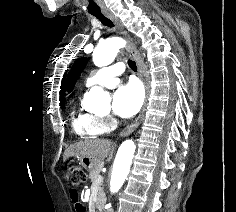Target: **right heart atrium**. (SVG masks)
Returning a JSON list of instances; mask_svg holds the SVG:
<instances>
[{
  "mask_svg": "<svg viewBox=\"0 0 236 212\" xmlns=\"http://www.w3.org/2000/svg\"><path fill=\"white\" fill-rule=\"evenodd\" d=\"M101 121L105 132L109 131L114 126V119L110 115L101 117Z\"/></svg>",
  "mask_w": 236,
  "mask_h": 212,
  "instance_id": "d8ad5b80",
  "label": "right heart atrium"
}]
</instances>
